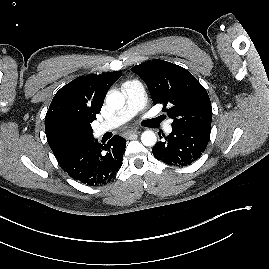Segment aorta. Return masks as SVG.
Listing matches in <instances>:
<instances>
[{
  "instance_id": "762f6f07",
  "label": "aorta",
  "mask_w": 269,
  "mask_h": 269,
  "mask_svg": "<svg viewBox=\"0 0 269 269\" xmlns=\"http://www.w3.org/2000/svg\"><path fill=\"white\" fill-rule=\"evenodd\" d=\"M106 104L114 110H119L124 106L125 98L122 93L112 91L106 96ZM141 141L145 146H154L157 142L156 134L151 130H146L141 135Z\"/></svg>"
}]
</instances>
